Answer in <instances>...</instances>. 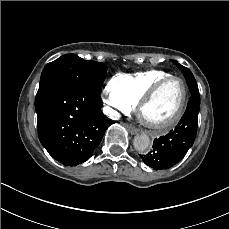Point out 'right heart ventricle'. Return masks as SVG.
Wrapping results in <instances>:
<instances>
[{
    "label": "right heart ventricle",
    "instance_id": "right-heart-ventricle-1",
    "mask_svg": "<svg viewBox=\"0 0 229 229\" xmlns=\"http://www.w3.org/2000/svg\"><path fill=\"white\" fill-rule=\"evenodd\" d=\"M170 72L161 69H149L146 71L119 73L113 79V84L122 95L140 102L141 97L149 86L160 78H167Z\"/></svg>",
    "mask_w": 229,
    "mask_h": 229
}]
</instances>
